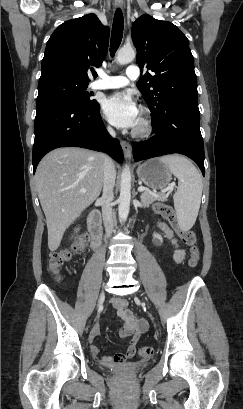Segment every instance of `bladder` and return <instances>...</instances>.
Instances as JSON below:
<instances>
[{"label":"bladder","mask_w":243,"mask_h":409,"mask_svg":"<svg viewBox=\"0 0 243 409\" xmlns=\"http://www.w3.org/2000/svg\"><path fill=\"white\" fill-rule=\"evenodd\" d=\"M136 368L134 367H130L129 365H124L122 367L119 368H112L109 369L110 372L112 373H117V372H136Z\"/></svg>","instance_id":"31cf9c89"}]
</instances>
